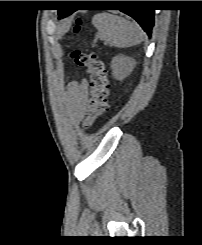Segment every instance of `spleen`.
<instances>
[{
    "instance_id": "3e777b00",
    "label": "spleen",
    "mask_w": 202,
    "mask_h": 245,
    "mask_svg": "<svg viewBox=\"0 0 202 245\" xmlns=\"http://www.w3.org/2000/svg\"><path fill=\"white\" fill-rule=\"evenodd\" d=\"M93 24L98 30V37L117 48H127L140 44L144 33L134 22L108 13L96 14Z\"/></svg>"
}]
</instances>
